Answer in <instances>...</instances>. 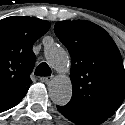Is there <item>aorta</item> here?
Returning a JSON list of instances; mask_svg holds the SVG:
<instances>
[{"instance_id":"762f6f07","label":"aorta","mask_w":125,"mask_h":125,"mask_svg":"<svg viewBox=\"0 0 125 125\" xmlns=\"http://www.w3.org/2000/svg\"><path fill=\"white\" fill-rule=\"evenodd\" d=\"M47 62L58 72L69 68V59L66 51L59 45L50 44L45 48ZM49 96L54 104L66 105L72 96V85L68 77L57 76L48 85Z\"/></svg>"}]
</instances>
